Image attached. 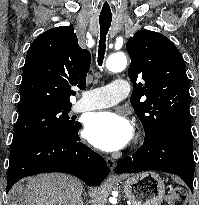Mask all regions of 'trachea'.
I'll list each match as a JSON object with an SVG mask.
<instances>
[{
  "mask_svg": "<svg viewBox=\"0 0 199 205\" xmlns=\"http://www.w3.org/2000/svg\"><path fill=\"white\" fill-rule=\"evenodd\" d=\"M112 17L99 16L100 24V41L98 48V64L102 66L104 60V54L106 50V35L111 25Z\"/></svg>",
  "mask_w": 199,
  "mask_h": 205,
  "instance_id": "3493384b",
  "label": "trachea"
}]
</instances>
